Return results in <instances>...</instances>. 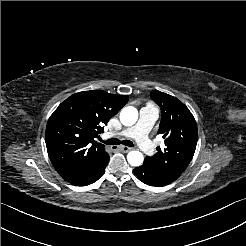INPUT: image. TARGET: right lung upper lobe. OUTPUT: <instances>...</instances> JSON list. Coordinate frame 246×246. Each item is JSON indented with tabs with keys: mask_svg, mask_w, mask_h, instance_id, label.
Wrapping results in <instances>:
<instances>
[{
	"mask_svg": "<svg viewBox=\"0 0 246 246\" xmlns=\"http://www.w3.org/2000/svg\"><path fill=\"white\" fill-rule=\"evenodd\" d=\"M128 102V96L103 90L73 94L54 111L46 127V146L55 168L93 164L106 153L94 138L105 123ZM88 145V146H87Z\"/></svg>",
	"mask_w": 246,
	"mask_h": 246,
	"instance_id": "cb5924a9",
	"label": "right lung upper lobe"
}]
</instances>
